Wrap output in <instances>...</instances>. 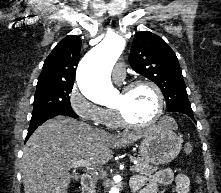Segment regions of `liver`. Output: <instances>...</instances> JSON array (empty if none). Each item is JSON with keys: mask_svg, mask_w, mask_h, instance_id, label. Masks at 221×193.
Returning <instances> with one entry per match:
<instances>
[{"mask_svg": "<svg viewBox=\"0 0 221 193\" xmlns=\"http://www.w3.org/2000/svg\"><path fill=\"white\" fill-rule=\"evenodd\" d=\"M161 122L177 128L171 118L164 117ZM149 130L112 135L66 116L52 118L36 129L23 149L24 192L67 193L72 161L105 164L113 157V148L134 143Z\"/></svg>", "mask_w": 221, "mask_h": 193, "instance_id": "liver-1", "label": "liver"}]
</instances>
